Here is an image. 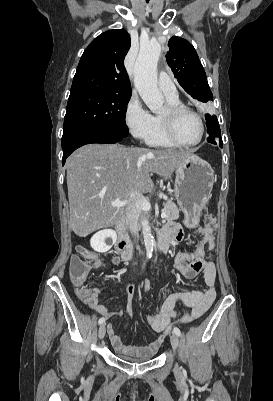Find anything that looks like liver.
Wrapping results in <instances>:
<instances>
[{"mask_svg": "<svg viewBox=\"0 0 273 401\" xmlns=\"http://www.w3.org/2000/svg\"><path fill=\"white\" fill-rule=\"evenodd\" d=\"M196 148L152 150L125 148L123 144H85L66 160L70 225L78 237L113 227L123 219L114 201H134L133 190L149 192L150 172L169 178L174 168Z\"/></svg>", "mask_w": 273, "mask_h": 401, "instance_id": "liver-1", "label": "liver"}]
</instances>
